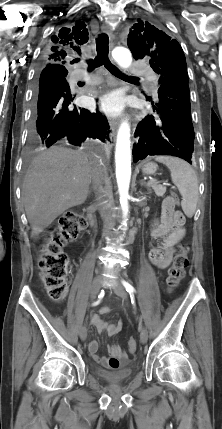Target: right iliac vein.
I'll use <instances>...</instances> for the list:
<instances>
[{
    "mask_svg": "<svg viewBox=\"0 0 222 429\" xmlns=\"http://www.w3.org/2000/svg\"><path fill=\"white\" fill-rule=\"evenodd\" d=\"M101 282H102L101 276H97L93 280V283L91 286V291H90L91 300H94L96 298L97 294L99 293L100 288H101ZM79 335H80L81 340H83V341L86 340V338H87V327L85 325L81 327Z\"/></svg>",
    "mask_w": 222,
    "mask_h": 429,
    "instance_id": "obj_1",
    "label": "right iliac vein"
}]
</instances>
